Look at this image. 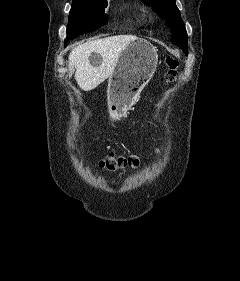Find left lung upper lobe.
<instances>
[{
    "label": "left lung upper lobe",
    "mask_w": 240,
    "mask_h": 281,
    "mask_svg": "<svg viewBox=\"0 0 240 281\" xmlns=\"http://www.w3.org/2000/svg\"><path fill=\"white\" fill-rule=\"evenodd\" d=\"M149 5L170 28L171 41L188 54L187 33L175 0H141Z\"/></svg>",
    "instance_id": "left-lung-upper-lobe-1"
}]
</instances>
